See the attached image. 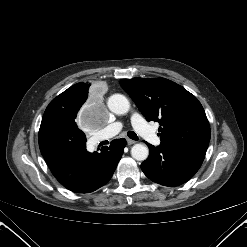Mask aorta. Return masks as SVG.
I'll return each instance as SVG.
<instances>
[{
    "label": "aorta",
    "mask_w": 247,
    "mask_h": 247,
    "mask_svg": "<svg viewBox=\"0 0 247 247\" xmlns=\"http://www.w3.org/2000/svg\"><path fill=\"white\" fill-rule=\"evenodd\" d=\"M107 106L109 110L117 115L126 114L130 109L129 100L122 94H113L109 97ZM149 149L146 145L137 143L131 148V156L137 161L148 158Z\"/></svg>",
    "instance_id": "aorta-1"
}]
</instances>
